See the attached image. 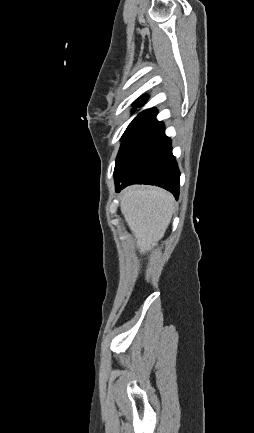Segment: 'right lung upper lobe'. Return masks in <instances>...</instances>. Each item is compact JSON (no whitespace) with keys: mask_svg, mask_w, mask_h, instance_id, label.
I'll list each match as a JSON object with an SVG mask.
<instances>
[{"mask_svg":"<svg viewBox=\"0 0 254 433\" xmlns=\"http://www.w3.org/2000/svg\"><path fill=\"white\" fill-rule=\"evenodd\" d=\"M146 99L145 98H140L135 102V105H143L145 103Z\"/></svg>","mask_w":254,"mask_h":433,"instance_id":"cb5924a9","label":"right lung upper lobe"}]
</instances>
